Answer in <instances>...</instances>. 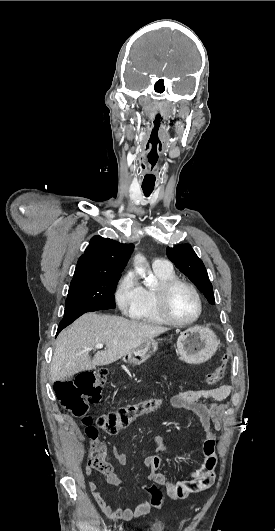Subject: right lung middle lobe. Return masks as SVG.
I'll return each mask as SVG.
<instances>
[{"label":"right lung middle lobe","mask_w":275,"mask_h":531,"mask_svg":"<svg viewBox=\"0 0 275 531\" xmlns=\"http://www.w3.org/2000/svg\"><path fill=\"white\" fill-rule=\"evenodd\" d=\"M121 275H85L73 277L63 319L76 314L115 308L114 293Z\"/></svg>","instance_id":"right-lung-middle-lobe-1"}]
</instances>
